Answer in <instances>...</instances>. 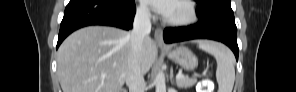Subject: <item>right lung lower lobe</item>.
Listing matches in <instances>:
<instances>
[{
	"label": "right lung lower lobe",
	"mask_w": 296,
	"mask_h": 92,
	"mask_svg": "<svg viewBox=\"0 0 296 92\" xmlns=\"http://www.w3.org/2000/svg\"><path fill=\"white\" fill-rule=\"evenodd\" d=\"M134 0H70L60 25L57 48L73 31L89 25L132 28Z\"/></svg>",
	"instance_id": "obj_1"
}]
</instances>
